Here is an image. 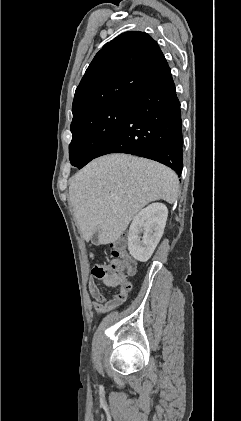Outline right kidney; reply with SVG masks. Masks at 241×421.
Returning a JSON list of instances; mask_svg holds the SVG:
<instances>
[{
    "instance_id": "obj_1",
    "label": "right kidney",
    "mask_w": 241,
    "mask_h": 421,
    "mask_svg": "<svg viewBox=\"0 0 241 421\" xmlns=\"http://www.w3.org/2000/svg\"><path fill=\"white\" fill-rule=\"evenodd\" d=\"M168 216V209L162 203H153L142 209L129 228L128 250L132 257L145 262L159 243ZM143 233V237L140 234Z\"/></svg>"
}]
</instances>
